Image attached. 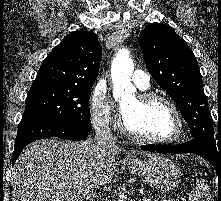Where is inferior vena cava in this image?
<instances>
[{"mask_svg": "<svg viewBox=\"0 0 221 201\" xmlns=\"http://www.w3.org/2000/svg\"><path fill=\"white\" fill-rule=\"evenodd\" d=\"M95 138H94V146L99 155L102 157L105 154V146H114L115 141L112 137L111 130L109 128V123L107 120L101 122L98 126L95 127ZM100 185H96L95 189H99ZM100 195L96 193H92L90 197V201H99Z\"/></svg>", "mask_w": 221, "mask_h": 201, "instance_id": "1", "label": "inferior vena cava"}]
</instances>
